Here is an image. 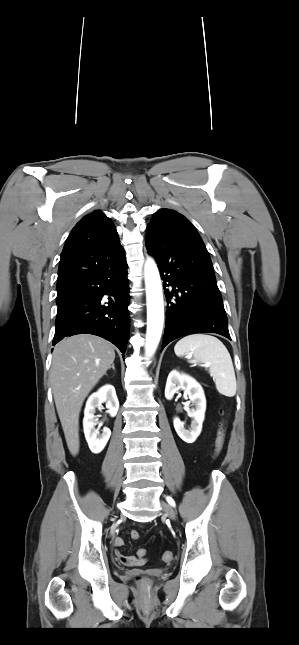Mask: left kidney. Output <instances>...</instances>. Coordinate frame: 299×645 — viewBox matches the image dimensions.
<instances>
[{"instance_id":"obj_1","label":"left kidney","mask_w":299,"mask_h":645,"mask_svg":"<svg viewBox=\"0 0 299 645\" xmlns=\"http://www.w3.org/2000/svg\"><path fill=\"white\" fill-rule=\"evenodd\" d=\"M180 389L184 390L193 403L194 407L188 412V416L192 418V423L189 430L185 429L184 422L177 417L174 418L173 424L178 436L183 441L193 443L202 430L206 410V398L203 388L194 378L173 370L169 373L166 382V399L171 400L174 394Z\"/></svg>"}]
</instances>
